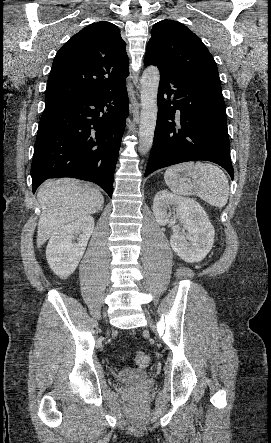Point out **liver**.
Segmentation results:
<instances>
[{"label":"liver","instance_id":"6515ba94","mask_svg":"<svg viewBox=\"0 0 271 443\" xmlns=\"http://www.w3.org/2000/svg\"><path fill=\"white\" fill-rule=\"evenodd\" d=\"M37 200L41 206L37 247H41L65 223L95 214L104 204L100 190L74 178L48 180L39 188Z\"/></svg>","mask_w":271,"mask_h":443}]
</instances>
